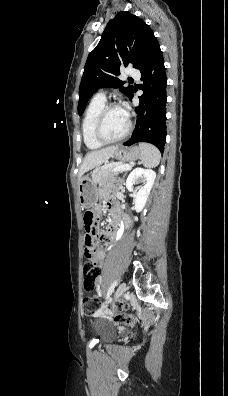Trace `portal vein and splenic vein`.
I'll list each match as a JSON object with an SVG mask.
<instances>
[{
    "label": "portal vein and splenic vein",
    "instance_id": "obj_1",
    "mask_svg": "<svg viewBox=\"0 0 228 396\" xmlns=\"http://www.w3.org/2000/svg\"><path fill=\"white\" fill-rule=\"evenodd\" d=\"M131 167L129 165H117L114 167L113 171H123V170H129Z\"/></svg>",
    "mask_w": 228,
    "mask_h": 396
}]
</instances>
